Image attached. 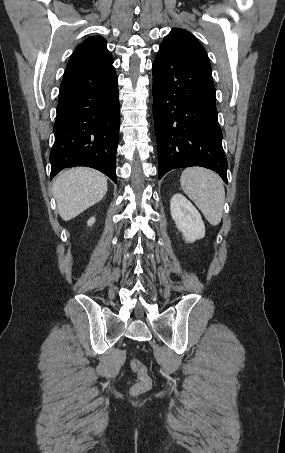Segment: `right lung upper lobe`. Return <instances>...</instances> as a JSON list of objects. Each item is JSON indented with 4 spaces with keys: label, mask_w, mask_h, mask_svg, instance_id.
Instances as JSON below:
<instances>
[{
    "label": "right lung upper lobe",
    "mask_w": 285,
    "mask_h": 453,
    "mask_svg": "<svg viewBox=\"0 0 285 453\" xmlns=\"http://www.w3.org/2000/svg\"><path fill=\"white\" fill-rule=\"evenodd\" d=\"M113 58L107 49L106 40L101 36L89 37L80 44L70 60L67 68L84 70L106 69L112 67Z\"/></svg>",
    "instance_id": "obj_1"
}]
</instances>
